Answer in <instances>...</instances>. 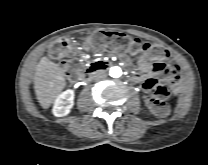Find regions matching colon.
Wrapping results in <instances>:
<instances>
[{
    "label": "colon",
    "instance_id": "obj_1",
    "mask_svg": "<svg viewBox=\"0 0 208 165\" xmlns=\"http://www.w3.org/2000/svg\"><path fill=\"white\" fill-rule=\"evenodd\" d=\"M84 42L87 49L95 51L104 48L113 49L121 54L148 51L156 60H164L169 55V50L161 45L144 43L137 38L118 32H92L84 37ZM70 51L69 41L59 39L51 45L49 56L53 60H62L70 54ZM168 96L169 91L164 86H157L154 93L147 97L149 106L156 114H166Z\"/></svg>",
    "mask_w": 208,
    "mask_h": 165
}]
</instances>
